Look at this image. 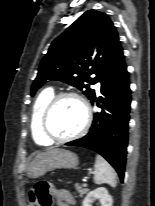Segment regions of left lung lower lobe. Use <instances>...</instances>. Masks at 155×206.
I'll return each instance as SVG.
<instances>
[{"label": "left lung lower lobe", "instance_id": "0a47b994", "mask_svg": "<svg viewBox=\"0 0 155 206\" xmlns=\"http://www.w3.org/2000/svg\"><path fill=\"white\" fill-rule=\"evenodd\" d=\"M128 77L122 52L101 80L102 96L96 97L95 94L91 100V103L102 108V111L94 114L90 131L83 138L66 143L70 146L88 148L102 155L117 171L122 182L131 103Z\"/></svg>", "mask_w": 155, "mask_h": 206}]
</instances>
